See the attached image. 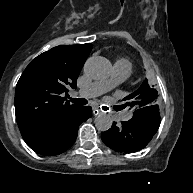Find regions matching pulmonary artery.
<instances>
[{
    "mask_svg": "<svg viewBox=\"0 0 193 193\" xmlns=\"http://www.w3.org/2000/svg\"><path fill=\"white\" fill-rule=\"evenodd\" d=\"M131 73V70L121 64L115 63L113 66V78L115 84L124 81ZM107 92V89L104 87L102 82H93L88 87L80 89L79 94H83L88 97H97Z\"/></svg>",
    "mask_w": 193,
    "mask_h": 193,
    "instance_id": "e3ab8cb5",
    "label": "pulmonary artery"
}]
</instances>
